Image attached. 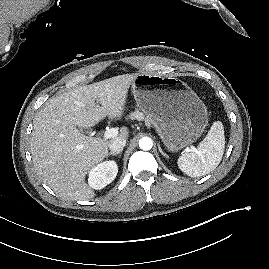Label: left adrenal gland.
I'll return each instance as SVG.
<instances>
[{"instance_id": "a2214340", "label": "left adrenal gland", "mask_w": 269, "mask_h": 269, "mask_svg": "<svg viewBox=\"0 0 269 269\" xmlns=\"http://www.w3.org/2000/svg\"><path fill=\"white\" fill-rule=\"evenodd\" d=\"M158 148H159L160 153H161L163 156L168 157V156L162 151L160 145H158Z\"/></svg>"}]
</instances>
